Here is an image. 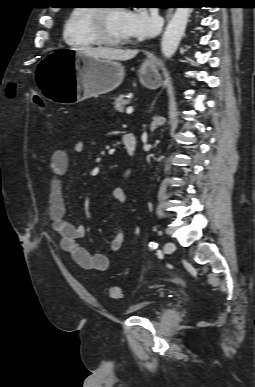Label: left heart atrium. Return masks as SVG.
Here are the masks:
<instances>
[{"mask_svg":"<svg viewBox=\"0 0 255 387\" xmlns=\"http://www.w3.org/2000/svg\"><path fill=\"white\" fill-rule=\"evenodd\" d=\"M160 20L157 15L145 9L129 11L125 14V30L130 38H149L158 33Z\"/></svg>","mask_w":255,"mask_h":387,"instance_id":"1","label":"left heart atrium"}]
</instances>
